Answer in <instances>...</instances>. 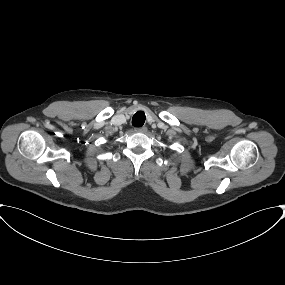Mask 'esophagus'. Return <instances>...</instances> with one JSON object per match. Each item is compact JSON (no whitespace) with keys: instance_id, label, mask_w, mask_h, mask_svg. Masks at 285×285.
<instances>
[{"instance_id":"esophagus-1","label":"esophagus","mask_w":285,"mask_h":285,"mask_svg":"<svg viewBox=\"0 0 285 285\" xmlns=\"http://www.w3.org/2000/svg\"><path fill=\"white\" fill-rule=\"evenodd\" d=\"M136 132L145 133L147 131L146 127H140L135 129Z\"/></svg>"}]
</instances>
